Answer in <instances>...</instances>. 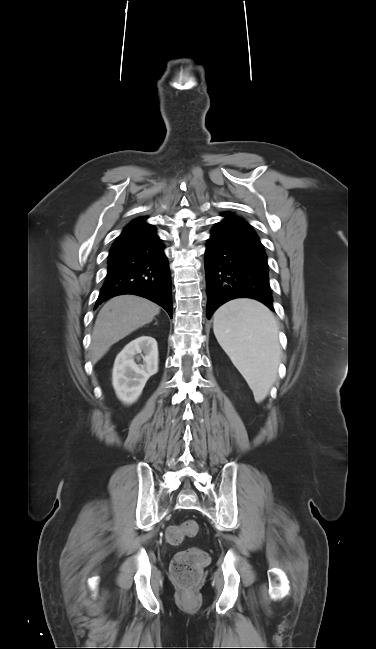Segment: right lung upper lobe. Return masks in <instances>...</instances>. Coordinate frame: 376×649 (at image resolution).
I'll list each match as a JSON object with an SVG mask.
<instances>
[{
    "mask_svg": "<svg viewBox=\"0 0 376 649\" xmlns=\"http://www.w3.org/2000/svg\"><path fill=\"white\" fill-rule=\"evenodd\" d=\"M147 217H141L138 218L137 220H134L131 222L129 225L125 227V229L122 231V233L118 236V238L121 237H126L129 235H133L136 233L144 232L147 230L154 229L155 227L153 225H150L146 223Z\"/></svg>",
    "mask_w": 376,
    "mask_h": 649,
    "instance_id": "right-lung-upper-lobe-1",
    "label": "right lung upper lobe"
}]
</instances>
